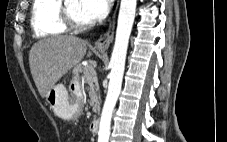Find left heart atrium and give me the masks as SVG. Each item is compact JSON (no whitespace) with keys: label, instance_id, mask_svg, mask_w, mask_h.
<instances>
[{"label":"left heart atrium","instance_id":"1","mask_svg":"<svg viewBox=\"0 0 227 142\" xmlns=\"http://www.w3.org/2000/svg\"><path fill=\"white\" fill-rule=\"evenodd\" d=\"M112 0H79L81 14L88 22L102 20Z\"/></svg>","mask_w":227,"mask_h":142}]
</instances>
